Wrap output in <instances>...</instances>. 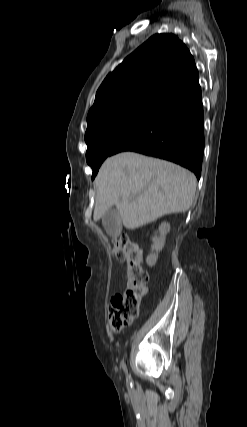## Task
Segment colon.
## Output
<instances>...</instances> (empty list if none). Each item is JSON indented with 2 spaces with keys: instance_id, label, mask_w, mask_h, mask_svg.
Returning <instances> with one entry per match:
<instances>
[{
  "instance_id": "5ec220e1",
  "label": "colon",
  "mask_w": 247,
  "mask_h": 427,
  "mask_svg": "<svg viewBox=\"0 0 247 427\" xmlns=\"http://www.w3.org/2000/svg\"><path fill=\"white\" fill-rule=\"evenodd\" d=\"M112 253L117 260L127 262L126 288L112 297L108 312L112 329L120 332L137 317L141 300L147 293L149 275L143 268L141 247L127 235L112 242Z\"/></svg>"
}]
</instances>
